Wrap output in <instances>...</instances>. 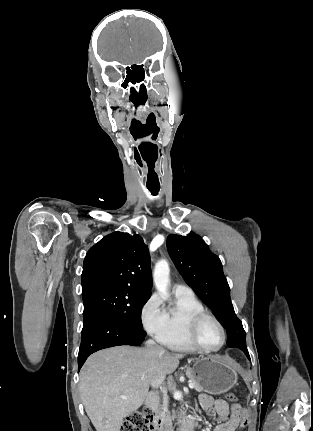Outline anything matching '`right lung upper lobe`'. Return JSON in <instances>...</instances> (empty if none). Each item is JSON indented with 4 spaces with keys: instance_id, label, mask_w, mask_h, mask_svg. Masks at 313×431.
I'll list each match as a JSON object with an SVG mask.
<instances>
[{
    "instance_id": "cb5924a9",
    "label": "right lung upper lobe",
    "mask_w": 313,
    "mask_h": 431,
    "mask_svg": "<svg viewBox=\"0 0 313 431\" xmlns=\"http://www.w3.org/2000/svg\"><path fill=\"white\" fill-rule=\"evenodd\" d=\"M148 247L141 236L114 232L89 249L83 263L82 296L117 287L151 295Z\"/></svg>"
}]
</instances>
